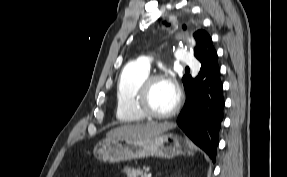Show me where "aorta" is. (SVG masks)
Here are the masks:
<instances>
[{
	"label": "aorta",
	"instance_id": "aorta-1",
	"mask_svg": "<svg viewBox=\"0 0 287 177\" xmlns=\"http://www.w3.org/2000/svg\"><path fill=\"white\" fill-rule=\"evenodd\" d=\"M190 42L192 43V45H194V40L193 39H191Z\"/></svg>",
	"mask_w": 287,
	"mask_h": 177
}]
</instances>
